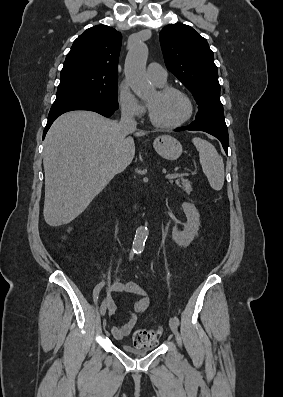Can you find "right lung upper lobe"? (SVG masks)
<instances>
[{
	"label": "right lung upper lobe",
	"instance_id": "cb5924a9",
	"mask_svg": "<svg viewBox=\"0 0 283 397\" xmlns=\"http://www.w3.org/2000/svg\"><path fill=\"white\" fill-rule=\"evenodd\" d=\"M121 41V33L112 27L97 25L87 29L74 41L61 74L75 72L118 78Z\"/></svg>",
	"mask_w": 283,
	"mask_h": 397
}]
</instances>
